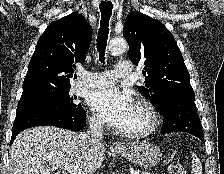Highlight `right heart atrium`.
<instances>
[{
  "label": "right heart atrium",
  "instance_id": "obj_1",
  "mask_svg": "<svg viewBox=\"0 0 224 174\" xmlns=\"http://www.w3.org/2000/svg\"><path fill=\"white\" fill-rule=\"evenodd\" d=\"M90 124L97 129L102 128L103 122L102 120L95 114L90 117Z\"/></svg>",
  "mask_w": 224,
  "mask_h": 174
}]
</instances>
